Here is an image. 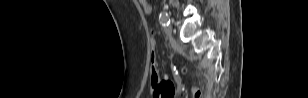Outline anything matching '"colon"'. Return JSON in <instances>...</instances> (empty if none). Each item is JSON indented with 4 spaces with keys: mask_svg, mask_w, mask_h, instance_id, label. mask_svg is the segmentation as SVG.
<instances>
[{
    "mask_svg": "<svg viewBox=\"0 0 308 98\" xmlns=\"http://www.w3.org/2000/svg\"><path fill=\"white\" fill-rule=\"evenodd\" d=\"M151 90L154 98H171L175 93L173 83L167 78H160L158 70V61L156 52L153 49L151 54ZM186 72V70H184ZM193 96L195 98L202 97V92L198 88L193 89Z\"/></svg>",
    "mask_w": 308,
    "mask_h": 98,
    "instance_id": "colon-1",
    "label": "colon"
}]
</instances>
